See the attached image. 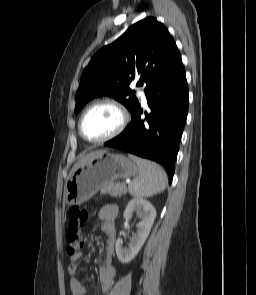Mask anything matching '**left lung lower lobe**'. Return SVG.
<instances>
[{
	"label": "left lung lower lobe",
	"mask_w": 256,
	"mask_h": 295,
	"mask_svg": "<svg viewBox=\"0 0 256 295\" xmlns=\"http://www.w3.org/2000/svg\"><path fill=\"white\" fill-rule=\"evenodd\" d=\"M150 113L141 120L139 107L131 124L104 145L117 148L165 167L171 184L178 146L188 114V86L182 60L146 92Z\"/></svg>",
	"instance_id": "left-lung-lower-lobe-1"
}]
</instances>
